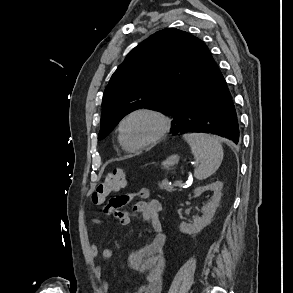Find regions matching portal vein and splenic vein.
I'll return each instance as SVG.
<instances>
[{"label":"portal vein and splenic vein","mask_w":293,"mask_h":293,"mask_svg":"<svg viewBox=\"0 0 293 293\" xmlns=\"http://www.w3.org/2000/svg\"><path fill=\"white\" fill-rule=\"evenodd\" d=\"M176 184H177V186H181L182 185V181H178Z\"/></svg>","instance_id":"1"}]
</instances>
